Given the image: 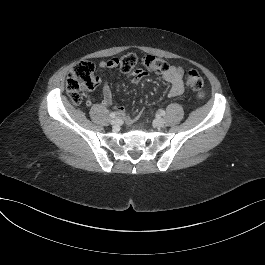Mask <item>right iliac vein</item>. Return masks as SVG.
Here are the masks:
<instances>
[{
  "mask_svg": "<svg viewBox=\"0 0 265 265\" xmlns=\"http://www.w3.org/2000/svg\"><path fill=\"white\" fill-rule=\"evenodd\" d=\"M111 125H118L120 123L119 118H112L110 121Z\"/></svg>",
  "mask_w": 265,
  "mask_h": 265,
  "instance_id": "obj_1",
  "label": "right iliac vein"
}]
</instances>
